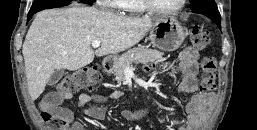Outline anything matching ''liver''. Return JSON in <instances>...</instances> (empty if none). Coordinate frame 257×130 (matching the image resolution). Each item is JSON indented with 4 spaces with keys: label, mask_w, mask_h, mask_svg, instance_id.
<instances>
[{
    "label": "liver",
    "mask_w": 257,
    "mask_h": 130,
    "mask_svg": "<svg viewBox=\"0 0 257 130\" xmlns=\"http://www.w3.org/2000/svg\"><path fill=\"white\" fill-rule=\"evenodd\" d=\"M159 19L132 18L92 7L39 12L22 47L29 94L36 100L55 70H78L97 57L125 51L140 40ZM101 41L95 52L91 44Z\"/></svg>",
    "instance_id": "obj_1"
}]
</instances>
